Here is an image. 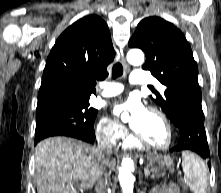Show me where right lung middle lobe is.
Returning <instances> with one entry per match:
<instances>
[{
    "label": "right lung middle lobe",
    "instance_id": "dd1d6c3e",
    "mask_svg": "<svg viewBox=\"0 0 221 193\" xmlns=\"http://www.w3.org/2000/svg\"><path fill=\"white\" fill-rule=\"evenodd\" d=\"M97 113L89 101H63L37 106L35 140L56 135H94Z\"/></svg>",
    "mask_w": 221,
    "mask_h": 193
}]
</instances>
